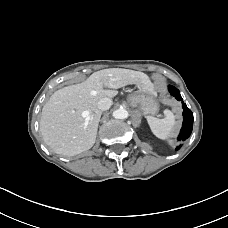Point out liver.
<instances>
[{
  "mask_svg": "<svg viewBox=\"0 0 228 228\" xmlns=\"http://www.w3.org/2000/svg\"><path fill=\"white\" fill-rule=\"evenodd\" d=\"M136 85L153 91V83L140 71L109 68L93 73L86 81L54 92L42 108L40 131L44 142L57 154L74 156L95 143L101 110L98 101L113 98L116 89Z\"/></svg>",
  "mask_w": 228,
  "mask_h": 228,
  "instance_id": "6515ba94",
  "label": "liver"
}]
</instances>
